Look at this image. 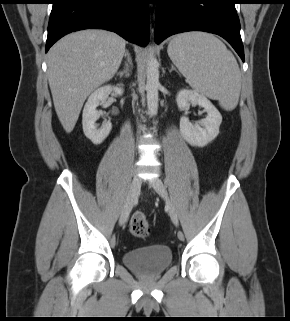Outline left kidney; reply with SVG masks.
Wrapping results in <instances>:
<instances>
[{"mask_svg":"<svg viewBox=\"0 0 290 321\" xmlns=\"http://www.w3.org/2000/svg\"><path fill=\"white\" fill-rule=\"evenodd\" d=\"M176 102L180 109L189 108L190 104H197L207 112V117L195 125L187 117H181L180 132L190 145L204 147L217 137L222 116L211 101L196 91L183 89L178 92Z\"/></svg>","mask_w":290,"mask_h":321,"instance_id":"left-kidney-1","label":"left kidney"}]
</instances>
